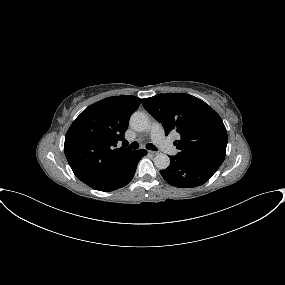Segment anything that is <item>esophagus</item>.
Returning a JSON list of instances; mask_svg holds the SVG:
<instances>
[{
	"mask_svg": "<svg viewBox=\"0 0 285 285\" xmlns=\"http://www.w3.org/2000/svg\"><path fill=\"white\" fill-rule=\"evenodd\" d=\"M148 154H150V155H152V156H155V155H157L158 153L155 152V151H148Z\"/></svg>",
	"mask_w": 285,
	"mask_h": 285,
	"instance_id": "34e87169",
	"label": "esophagus"
}]
</instances>
